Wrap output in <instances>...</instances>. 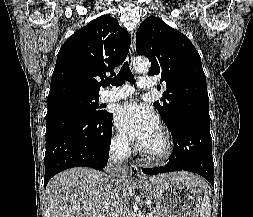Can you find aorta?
I'll use <instances>...</instances> for the list:
<instances>
[{
	"label": "aorta",
	"mask_w": 253,
	"mask_h": 217,
	"mask_svg": "<svg viewBox=\"0 0 253 217\" xmlns=\"http://www.w3.org/2000/svg\"><path fill=\"white\" fill-rule=\"evenodd\" d=\"M133 66L137 72H147L150 68V62L145 58H137L133 61Z\"/></svg>",
	"instance_id": "obj_1"
}]
</instances>
